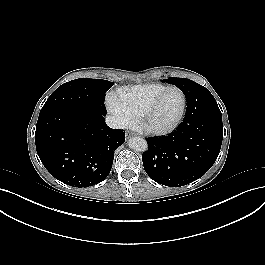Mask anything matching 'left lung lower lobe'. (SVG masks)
Wrapping results in <instances>:
<instances>
[{
    "mask_svg": "<svg viewBox=\"0 0 265 265\" xmlns=\"http://www.w3.org/2000/svg\"><path fill=\"white\" fill-rule=\"evenodd\" d=\"M185 96L183 122L166 137L147 138L149 149L142 155L148 176L169 187L202 177L217 159L223 139L220 109L208 103L204 88H191Z\"/></svg>",
    "mask_w": 265,
    "mask_h": 265,
    "instance_id": "0a47b994",
    "label": "left lung lower lobe"
}]
</instances>
